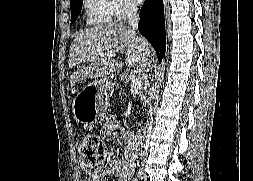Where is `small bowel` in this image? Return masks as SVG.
Here are the masks:
<instances>
[{
    "label": "small bowel",
    "mask_w": 253,
    "mask_h": 181,
    "mask_svg": "<svg viewBox=\"0 0 253 181\" xmlns=\"http://www.w3.org/2000/svg\"><path fill=\"white\" fill-rule=\"evenodd\" d=\"M119 130L125 142L132 143L134 142L133 135L123 130L120 127V124L116 121L109 120L104 123L101 128V135L104 139L109 140L115 131ZM134 151H128L125 155L124 160H112L110 162V167L108 170L100 173L94 174L90 177H87V181H103V179L108 176L112 175L116 181H128L133 175V162H134Z\"/></svg>",
    "instance_id": "1"
}]
</instances>
